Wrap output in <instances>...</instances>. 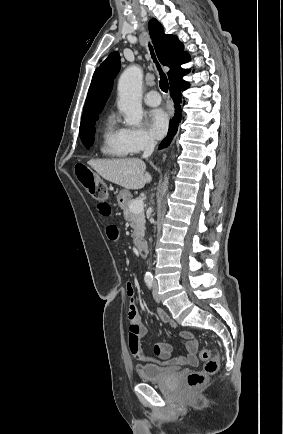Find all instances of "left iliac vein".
Segmentation results:
<instances>
[{"mask_svg":"<svg viewBox=\"0 0 283 434\" xmlns=\"http://www.w3.org/2000/svg\"><path fill=\"white\" fill-rule=\"evenodd\" d=\"M153 297L156 302H160V298L158 295V284L156 281L153 282Z\"/></svg>","mask_w":283,"mask_h":434,"instance_id":"obj_1","label":"left iliac vein"}]
</instances>
